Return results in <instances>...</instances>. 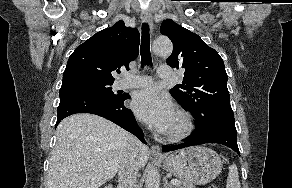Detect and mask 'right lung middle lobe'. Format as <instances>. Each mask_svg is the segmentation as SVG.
I'll list each match as a JSON object with an SVG mask.
<instances>
[{
  "label": "right lung middle lobe",
  "instance_id": "1",
  "mask_svg": "<svg viewBox=\"0 0 292 188\" xmlns=\"http://www.w3.org/2000/svg\"><path fill=\"white\" fill-rule=\"evenodd\" d=\"M114 81L102 80L95 78H74L63 80L61 89L65 88H82L91 92H94L107 100L120 99L123 94H115L112 91L111 85Z\"/></svg>",
  "mask_w": 292,
  "mask_h": 188
}]
</instances>
